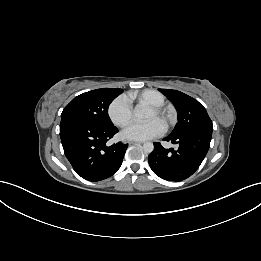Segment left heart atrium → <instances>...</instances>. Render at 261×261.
Here are the masks:
<instances>
[{
	"label": "left heart atrium",
	"mask_w": 261,
	"mask_h": 261,
	"mask_svg": "<svg viewBox=\"0 0 261 261\" xmlns=\"http://www.w3.org/2000/svg\"><path fill=\"white\" fill-rule=\"evenodd\" d=\"M165 130L164 124L158 119L144 123H131L123 131L122 136L128 140L143 141L160 136Z\"/></svg>",
	"instance_id": "left-heart-atrium-1"
}]
</instances>
